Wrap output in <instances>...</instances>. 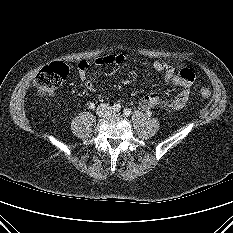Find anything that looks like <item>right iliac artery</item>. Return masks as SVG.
Returning a JSON list of instances; mask_svg holds the SVG:
<instances>
[{"label": "right iliac artery", "mask_w": 233, "mask_h": 233, "mask_svg": "<svg viewBox=\"0 0 233 233\" xmlns=\"http://www.w3.org/2000/svg\"><path fill=\"white\" fill-rule=\"evenodd\" d=\"M115 112H119L121 110L120 104H114L112 108Z\"/></svg>", "instance_id": "1"}]
</instances>
